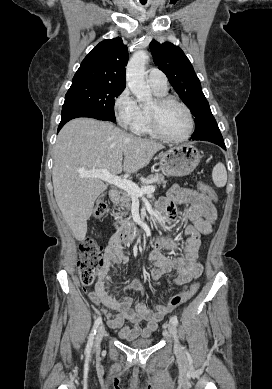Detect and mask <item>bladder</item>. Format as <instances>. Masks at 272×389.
<instances>
[{"label":"bladder","instance_id":"obj_1","mask_svg":"<svg viewBox=\"0 0 272 389\" xmlns=\"http://www.w3.org/2000/svg\"><path fill=\"white\" fill-rule=\"evenodd\" d=\"M129 346L133 348H148L153 344V340L151 339H138V340H128Z\"/></svg>","mask_w":272,"mask_h":389}]
</instances>
